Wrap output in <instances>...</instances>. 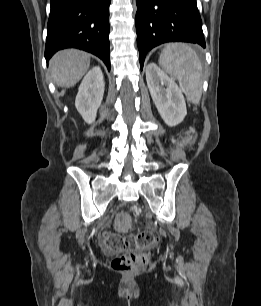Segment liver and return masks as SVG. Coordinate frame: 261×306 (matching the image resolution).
<instances>
[{"label":"liver","mask_w":261,"mask_h":306,"mask_svg":"<svg viewBox=\"0 0 261 306\" xmlns=\"http://www.w3.org/2000/svg\"><path fill=\"white\" fill-rule=\"evenodd\" d=\"M90 55L79 50H63L50 61V72L58 87H73L88 71Z\"/></svg>","instance_id":"6515ba94"}]
</instances>
